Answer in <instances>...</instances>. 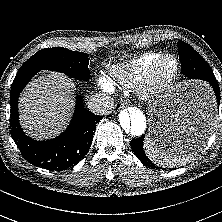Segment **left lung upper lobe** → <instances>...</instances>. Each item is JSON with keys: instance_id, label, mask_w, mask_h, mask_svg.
<instances>
[{"instance_id": "obj_1", "label": "left lung upper lobe", "mask_w": 222, "mask_h": 222, "mask_svg": "<svg viewBox=\"0 0 222 222\" xmlns=\"http://www.w3.org/2000/svg\"><path fill=\"white\" fill-rule=\"evenodd\" d=\"M179 56H193L202 66L212 72L207 62L187 43L183 41L178 42Z\"/></svg>"}]
</instances>
